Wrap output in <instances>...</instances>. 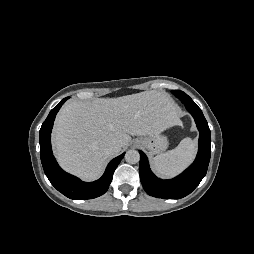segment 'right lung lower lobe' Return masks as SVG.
<instances>
[{
    "instance_id": "obj_1",
    "label": "right lung lower lobe",
    "mask_w": 254,
    "mask_h": 254,
    "mask_svg": "<svg viewBox=\"0 0 254 254\" xmlns=\"http://www.w3.org/2000/svg\"><path fill=\"white\" fill-rule=\"evenodd\" d=\"M67 99L68 98H64L50 111L48 117L41 126L39 132V142L42 166L51 184L68 198L75 200L96 198L108 190L112 181L113 173L124 157L125 153L114 158L108 164L103 176L94 182H83L77 177L63 171L53 156L50 137L55 116Z\"/></svg>"
}]
</instances>
